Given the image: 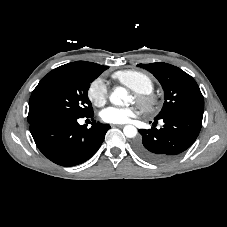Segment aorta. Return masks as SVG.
<instances>
[{"label":"aorta","mask_w":227,"mask_h":227,"mask_svg":"<svg viewBox=\"0 0 227 227\" xmlns=\"http://www.w3.org/2000/svg\"><path fill=\"white\" fill-rule=\"evenodd\" d=\"M109 100L112 104L121 106L124 103L130 101V97L128 92L123 87H116L114 91L111 93ZM124 135L128 138H133L137 135V129L133 125H126L123 129Z\"/></svg>","instance_id":"aorta-1"}]
</instances>
